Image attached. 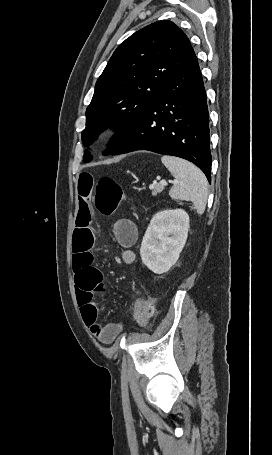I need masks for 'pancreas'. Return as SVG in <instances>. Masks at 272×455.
<instances>
[{"label": "pancreas", "mask_w": 272, "mask_h": 455, "mask_svg": "<svg viewBox=\"0 0 272 455\" xmlns=\"http://www.w3.org/2000/svg\"><path fill=\"white\" fill-rule=\"evenodd\" d=\"M163 189H164V186H162L161 184H157L152 191V195L156 196L157 194L161 193L163 191Z\"/></svg>", "instance_id": "cf45deb5"}]
</instances>
